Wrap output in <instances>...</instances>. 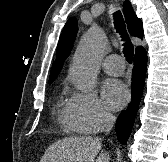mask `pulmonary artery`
<instances>
[{
	"label": "pulmonary artery",
	"instance_id": "obj_1",
	"mask_svg": "<svg viewBox=\"0 0 168 162\" xmlns=\"http://www.w3.org/2000/svg\"><path fill=\"white\" fill-rule=\"evenodd\" d=\"M102 67L109 75H120L124 71V62L117 54H111L105 58Z\"/></svg>",
	"mask_w": 168,
	"mask_h": 162
}]
</instances>
